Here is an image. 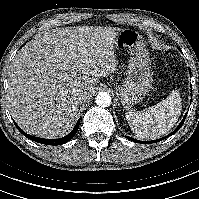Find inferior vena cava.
I'll list each match as a JSON object with an SVG mask.
<instances>
[{"label": "inferior vena cava", "instance_id": "obj_1", "mask_svg": "<svg viewBox=\"0 0 199 199\" xmlns=\"http://www.w3.org/2000/svg\"><path fill=\"white\" fill-rule=\"evenodd\" d=\"M72 96L75 100L82 101L84 99V91L82 89H74Z\"/></svg>", "mask_w": 199, "mask_h": 199}]
</instances>
